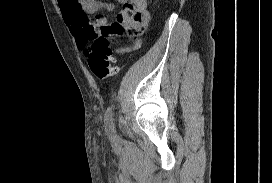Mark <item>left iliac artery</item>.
Returning <instances> with one entry per match:
<instances>
[{"instance_id": "obj_1", "label": "left iliac artery", "mask_w": 272, "mask_h": 183, "mask_svg": "<svg viewBox=\"0 0 272 183\" xmlns=\"http://www.w3.org/2000/svg\"><path fill=\"white\" fill-rule=\"evenodd\" d=\"M104 121H105V126L106 129L111 133H115V127H114V122H113V111H112V106H109L104 114Z\"/></svg>"}]
</instances>
